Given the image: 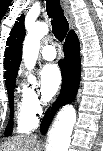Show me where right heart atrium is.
Listing matches in <instances>:
<instances>
[{
    "instance_id": "1",
    "label": "right heart atrium",
    "mask_w": 103,
    "mask_h": 151,
    "mask_svg": "<svg viewBox=\"0 0 103 151\" xmlns=\"http://www.w3.org/2000/svg\"><path fill=\"white\" fill-rule=\"evenodd\" d=\"M21 98L26 112L31 117L37 118L44 105L38 91L32 86L24 84L21 89Z\"/></svg>"
}]
</instances>
